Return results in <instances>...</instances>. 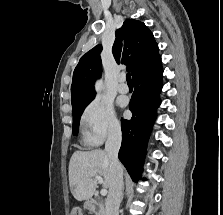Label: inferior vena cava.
<instances>
[{
  "label": "inferior vena cava",
  "mask_w": 223,
  "mask_h": 215,
  "mask_svg": "<svg viewBox=\"0 0 223 215\" xmlns=\"http://www.w3.org/2000/svg\"><path fill=\"white\" fill-rule=\"evenodd\" d=\"M122 133L120 127H112L108 133L105 149L110 159L109 169L112 175L111 185L109 187L107 199L105 201V215H119L123 169L118 159V151L121 145Z\"/></svg>",
  "instance_id": "obj_1"
}]
</instances>
